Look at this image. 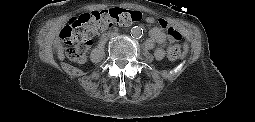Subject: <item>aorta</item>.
Here are the masks:
<instances>
[{
    "label": "aorta",
    "mask_w": 255,
    "mask_h": 122,
    "mask_svg": "<svg viewBox=\"0 0 255 122\" xmlns=\"http://www.w3.org/2000/svg\"><path fill=\"white\" fill-rule=\"evenodd\" d=\"M131 35H132V37H134V38H141L142 35H143V29H142V27H140V26H134V27L131 29Z\"/></svg>",
    "instance_id": "762f6f07"
}]
</instances>
